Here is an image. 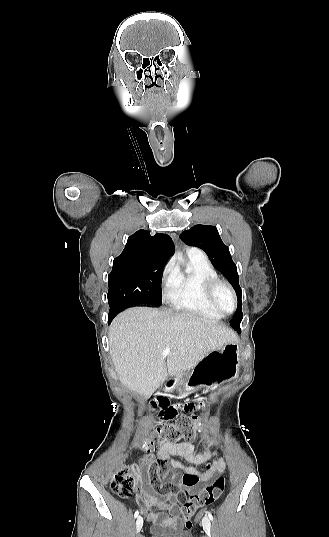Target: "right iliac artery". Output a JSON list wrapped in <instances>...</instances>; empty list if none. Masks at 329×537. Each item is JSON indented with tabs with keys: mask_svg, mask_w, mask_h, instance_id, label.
Wrapping results in <instances>:
<instances>
[{
	"mask_svg": "<svg viewBox=\"0 0 329 537\" xmlns=\"http://www.w3.org/2000/svg\"><path fill=\"white\" fill-rule=\"evenodd\" d=\"M138 515H139V511L137 510V511L135 512V514H134V517L137 518Z\"/></svg>",
	"mask_w": 329,
	"mask_h": 537,
	"instance_id": "82829eb1",
	"label": "right iliac artery"
}]
</instances>
